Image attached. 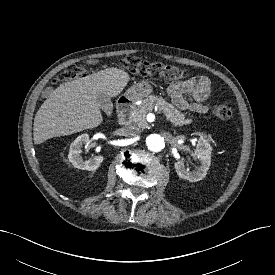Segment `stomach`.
<instances>
[{"instance_id": "stomach-1", "label": "stomach", "mask_w": 275, "mask_h": 275, "mask_svg": "<svg viewBox=\"0 0 275 275\" xmlns=\"http://www.w3.org/2000/svg\"><path fill=\"white\" fill-rule=\"evenodd\" d=\"M152 92V86L145 81L138 82L131 86L125 93V96L132 101H136L148 96Z\"/></svg>"}]
</instances>
